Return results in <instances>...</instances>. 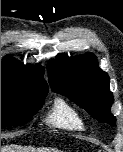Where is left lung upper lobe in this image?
Here are the masks:
<instances>
[{
    "instance_id": "5c2ea615",
    "label": "left lung upper lobe",
    "mask_w": 123,
    "mask_h": 152,
    "mask_svg": "<svg viewBox=\"0 0 123 152\" xmlns=\"http://www.w3.org/2000/svg\"><path fill=\"white\" fill-rule=\"evenodd\" d=\"M48 73L54 92L67 96L98 121L115 125L109 76L98 68L93 54L50 61Z\"/></svg>"
}]
</instances>
